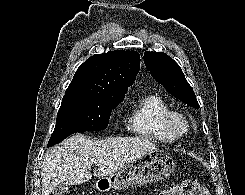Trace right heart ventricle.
<instances>
[{
    "mask_svg": "<svg viewBox=\"0 0 245 195\" xmlns=\"http://www.w3.org/2000/svg\"><path fill=\"white\" fill-rule=\"evenodd\" d=\"M168 103L157 94L139 96L127 112V131L135 136L157 141L175 140L163 128L162 119L170 111Z\"/></svg>",
    "mask_w": 245,
    "mask_h": 195,
    "instance_id": "1",
    "label": "right heart ventricle"
}]
</instances>
